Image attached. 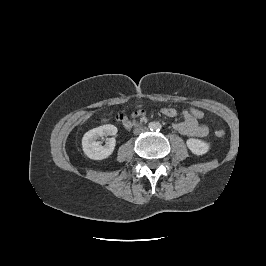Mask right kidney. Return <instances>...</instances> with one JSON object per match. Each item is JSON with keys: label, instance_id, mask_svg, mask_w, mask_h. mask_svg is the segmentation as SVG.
Masks as SVG:
<instances>
[{"label": "right kidney", "instance_id": "obj_1", "mask_svg": "<svg viewBox=\"0 0 266 266\" xmlns=\"http://www.w3.org/2000/svg\"><path fill=\"white\" fill-rule=\"evenodd\" d=\"M116 133L117 128L110 124H106L88 131L82 138V147L84 153L87 155V157L93 160H102L109 157L113 153L116 145L115 138H107L105 145H100L96 140L102 136H114Z\"/></svg>", "mask_w": 266, "mask_h": 266}]
</instances>
